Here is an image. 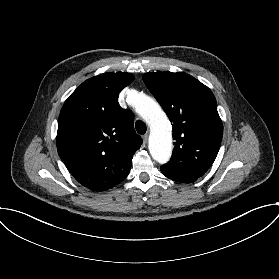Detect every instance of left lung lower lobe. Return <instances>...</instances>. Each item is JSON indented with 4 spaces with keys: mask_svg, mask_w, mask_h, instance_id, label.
Masks as SVG:
<instances>
[{
    "mask_svg": "<svg viewBox=\"0 0 279 279\" xmlns=\"http://www.w3.org/2000/svg\"><path fill=\"white\" fill-rule=\"evenodd\" d=\"M161 172L168 178L174 180V181H177V182H182V183H191V182H194V181H191L190 179L188 178H185L179 174H176V173H173L163 167H161Z\"/></svg>",
    "mask_w": 279,
    "mask_h": 279,
    "instance_id": "left-lung-lower-lobe-1",
    "label": "left lung lower lobe"
}]
</instances>
